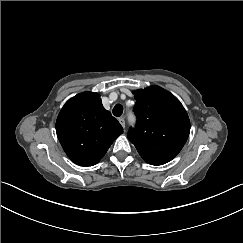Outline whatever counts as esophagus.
Masks as SVG:
<instances>
[{"mask_svg":"<svg viewBox=\"0 0 243 243\" xmlns=\"http://www.w3.org/2000/svg\"><path fill=\"white\" fill-rule=\"evenodd\" d=\"M119 123L121 124V126L124 128L125 127V120L123 117H120L119 119Z\"/></svg>","mask_w":243,"mask_h":243,"instance_id":"1","label":"esophagus"}]
</instances>
